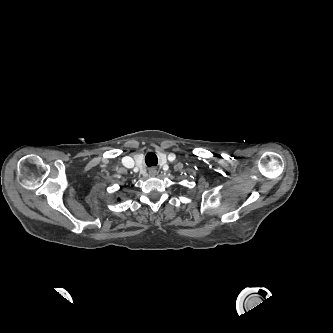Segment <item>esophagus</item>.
<instances>
[{
    "mask_svg": "<svg viewBox=\"0 0 333 333\" xmlns=\"http://www.w3.org/2000/svg\"><path fill=\"white\" fill-rule=\"evenodd\" d=\"M149 175L154 177L157 175V169L155 167H152L149 169Z\"/></svg>",
    "mask_w": 333,
    "mask_h": 333,
    "instance_id": "34e87169",
    "label": "esophagus"
}]
</instances>
